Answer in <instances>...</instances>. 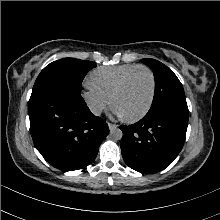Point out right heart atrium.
<instances>
[{
  "label": "right heart atrium",
  "mask_w": 220,
  "mask_h": 220,
  "mask_svg": "<svg viewBox=\"0 0 220 220\" xmlns=\"http://www.w3.org/2000/svg\"><path fill=\"white\" fill-rule=\"evenodd\" d=\"M82 98L91 113L97 116L106 111L111 104L108 97L90 86H87L86 90L82 92Z\"/></svg>",
  "instance_id": "1"
}]
</instances>
